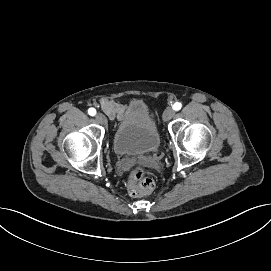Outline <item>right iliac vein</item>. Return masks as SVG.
Wrapping results in <instances>:
<instances>
[{
    "instance_id": "63e3f726",
    "label": "right iliac vein",
    "mask_w": 271,
    "mask_h": 271,
    "mask_svg": "<svg viewBox=\"0 0 271 271\" xmlns=\"http://www.w3.org/2000/svg\"><path fill=\"white\" fill-rule=\"evenodd\" d=\"M95 120L100 124H103V125L107 124L106 117L101 113H98V114L95 115Z\"/></svg>"
}]
</instances>
